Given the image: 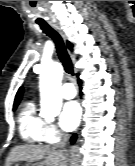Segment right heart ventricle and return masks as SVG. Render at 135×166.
Masks as SVG:
<instances>
[{
    "label": "right heart ventricle",
    "mask_w": 135,
    "mask_h": 166,
    "mask_svg": "<svg viewBox=\"0 0 135 166\" xmlns=\"http://www.w3.org/2000/svg\"><path fill=\"white\" fill-rule=\"evenodd\" d=\"M21 138L28 144H40L45 141V121L37 114L33 101H26L18 115Z\"/></svg>",
    "instance_id": "e07e8e85"
}]
</instances>
